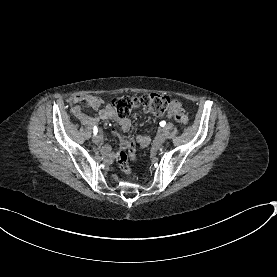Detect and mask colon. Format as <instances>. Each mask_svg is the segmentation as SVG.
<instances>
[{"mask_svg": "<svg viewBox=\"0 0 277 277\" xmlns=\"http://www.w3.org/2000/svg\"><path fill=\"white\" fill-rule=\"evenodd\" d=\"M85 101L92 105V103H97L98 96L97 94H86ZM111 104L120 118H126L132 110H141L144 113L161 116L169 110L171 99L164 94L144 93L141 95L115 96L112 98ZM173 113L176 122L183 127L188 125L189 119L183 108L175 107ZM132 150V144L126 143L125 149H121L116 153V161L125 174L130 173L128 158L133 157Z\"/></svg>", "mask_w": 277, "mask_h": 277, "instance_id": "5ec220e1", "label": "colon"}]
</instances>
